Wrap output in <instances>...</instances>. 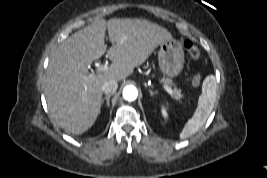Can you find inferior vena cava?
Returning <instances> with one entry per match:
<instances>
[{"mask_svg":"<svg viewBox=\"0 0 267 178\" xmlns=\"http://www.w3.org/2000/svg\"><path fill=\"white\" fill-rule=\"evenodd\" d=\"M117 88H118V83L114 79L106 80L101 86L102 92L105 93L106 95L114 94Z\"/></svg>","mask_w":267,"mask_h":178,"instance_id":"602c4592","label":"inferior vena cava"}]
</instances>
